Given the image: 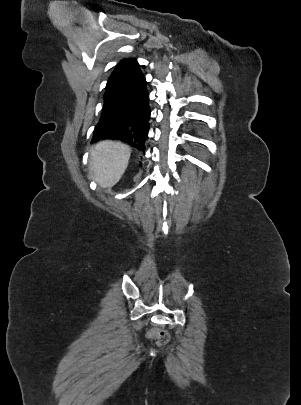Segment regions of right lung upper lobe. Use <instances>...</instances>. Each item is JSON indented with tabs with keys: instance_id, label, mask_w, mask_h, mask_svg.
<instances>
[{
	"instance_id": "right-lung-upper-lobe-1",
	"label": "right lung upper lobe",
	"mask_w": 301,
	"mask_h": 405,
	"mask_svg": "<svg viewBox=\"0 0 301 405\" xmlns=\"http://www.w3.org/2000/svg\"><path fill=\"white\" fill-rule=\"evenodd\" d=\"M134 59H123L121 62L116 66L114 71L112 72L107 85L112 83L115 79L118 78V76L126 69V67L133 61ZM106 85V86H107Z\"/></svg>"
}]
</instances>
